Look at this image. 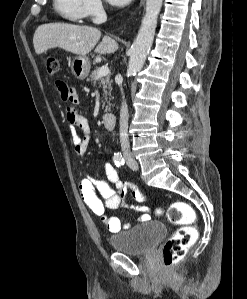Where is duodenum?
<instances>
[{
    "label": "duodenum",
    "instance_id": "duodenum-1",
    "mask_svg": "<svg viewBox=\"0 0 247 299\" xmlns=\"http://www.w3.org/2000/svg\"><path fill=\"white\" fill-rule=\"evenodd\" d=\"M102 123L107 130H113L116 125V116L113 113H105L102 116Z\"/></svg>",
    "mask_w": 247,
    "mask_h": 299
}]
</instances>
